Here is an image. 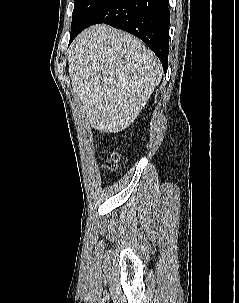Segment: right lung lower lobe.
<instances>
[{"label": "right lung lower lobe", "mask_w": 239, "mask_h": 303, "mask_svg": "<svg viewBox=\"0 0 239 303\" xmlns=\"http://www.w3.org/2000/svg\"><path fill=\"white\" fill-rule=\"evenodd\" d=\"M168 5L169 0H106L94 11L83 29L106 23L139 37L155 52L166 73L170 25ZM79 33L70 37V43Z\"/></svg>", "instance_id": "98d812e1"}]
</instances>
